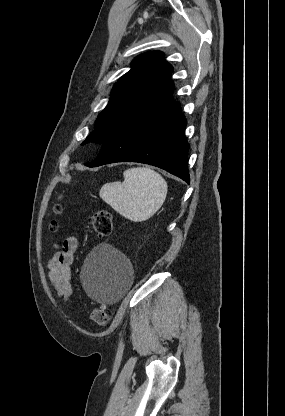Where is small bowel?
I'll use <instances>...</instances> for the list:
<instances>
[{"instance_id": "c3829d8e", "label": "small bowel", "mask_w": 285, "mask_h": 416, "mask_svg": "<svg viewBox=\"0 0 285 416\" xmlns=\"http://www.w3.org/2000/svg\"><path fill=\"white\" fill-rule=\"evenodd\" d=\"M78 248V239L68 237L62 245H53L54 254L47 262V273L50 285L58 297L68 302L72 294L71 265Z\"/></svg>"}]
</instances>
